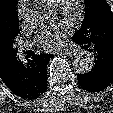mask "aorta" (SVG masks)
<instances>
[{
  "label": "aorta",
  "mask_w": 113,
  "mask_h": 113,
  "mask_svg": "<svg viewBox=\"0 0 113 113\" xmlns=\"http://www.w3.org/2000/svg\"><path fill=\"white\" fill-rule=\"evenodd\" d=\"M38 22L45 24L49 21L50 15L43 8H36L32 11ZM94 66V57L91 54H79L73 60V67L80 74H85L91 71Z\"/></svg>",
  "instance_id": "obj_1"
}]
</instances>
